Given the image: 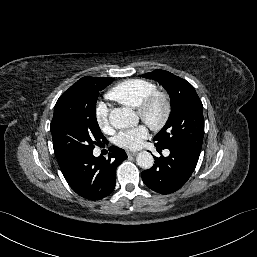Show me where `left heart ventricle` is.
<instances>
[{
    "label": "left heart ventricle",
    "mask_w": 257,
    "mask_h": 257,
    "mask_svg": "<svg viewBox=\"0 0 257 257\" xmlns=\"http://www.w3.org/2000/svg\"><path fill=\"white\" fill-rule=\"evenodd\" d=\"M162 115V107L160 105H156L150 112L151 120L157 121Z\"/></svg>",
    "instance_id": "obj_1"
}]
</instances>
